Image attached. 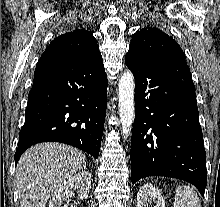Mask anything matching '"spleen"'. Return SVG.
Masks as SVG:
<instances>
[{
	"mask_svg": "<svg viewBox=\"0 0 220 207\" xmlns=\"http://www.w3.org/2000/svg\"><path fill=\"white\" fill-rule=\"evenodd\" d=\"M174 207H201L200 199L193 188L181 186L176 190Z\"/></svg>",
	"mask_w": 220,
	"mask_h": 207,
	"instance_id": "obj_1",
	"label": "spleen"
}]
</instances>
